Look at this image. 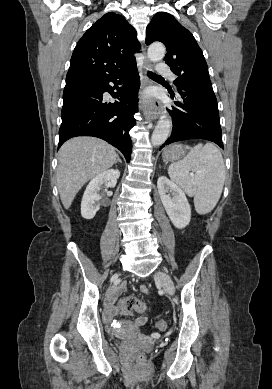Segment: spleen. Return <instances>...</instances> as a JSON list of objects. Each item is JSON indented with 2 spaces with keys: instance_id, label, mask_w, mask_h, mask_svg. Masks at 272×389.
<instances>
[{
  "instance_id": "obj_1",
  "label": "spleen",
  "mask_w": 272,
  "mask_h": 389,
  "mask_svg": "<svg viewBox=\"0 0 272 389\" xmlns=\"http://www.w3.org/2000/svg\"><path fill=\"white\" fill-rule=\"evenodd\" d=\"M168 174L188 196H194L198 214H207L214 209L225 181L223 157L214 144L199 143L183 160L172 163Z\"/></svg>"
}]
</instances>
